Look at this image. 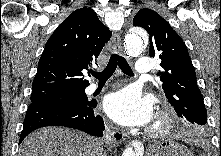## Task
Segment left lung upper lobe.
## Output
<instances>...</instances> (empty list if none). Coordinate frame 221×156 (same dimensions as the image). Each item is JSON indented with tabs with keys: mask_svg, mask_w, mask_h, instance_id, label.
Instances as JSON below:
<instances>
[{
	"mask_svg": "<svg viewBox=\"0 0 221 156\" xmlns=\"http://www.w3.org/2000/svg\"><path fill=\"white\" fill-rule=\"evenodd\" d=\"M134 26L149 34V55L161 59L162 70L157 73L163 91L177 115L185 122L203 126L207 112L197 86L196 73L187 47L170 24L157 12L141 9L133 19Z\"/></svg>",
	"mask_w": 221,
	"mask_h": 156,
	"instance_id": "obj_1",
	"label": "left lung upper lobe"
}]
</instances>
